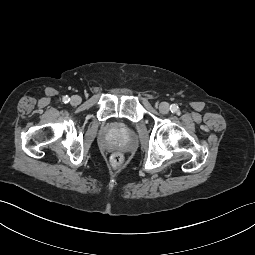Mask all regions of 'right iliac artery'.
<instances>
[{
    "instance_id": "right-iliac-artery-1",
    "label": "right iliac artery",
    "mask_w": 255,
    "mask_h": 255,
    "mask_svg": "<svg viewBox=\"0 0 255 255\" xmlns=\"http://www.w3.org/2000/svg\"><path fill=\"white\" fill-rule=\"evenodd\" d=\"M70 101V98L68 96L63 97V102L68 103Z\"/></svg>"
}]
</instances>
